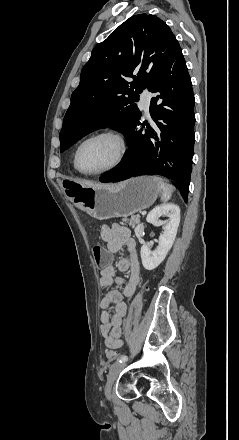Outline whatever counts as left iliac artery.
I'll return each mask as SVG.
<instances>
[{
	"label": "left iliac artery",
	"instance_id": "1",
	"mask_svg": "<svg viewBox=\"0 0 239 440\" xmlns=\"http://www.w3.org/2000/svg\"><path fill=\"white\" fill-rule=\"evenodd\" d=\"M127 356L126 355H121V356H119L118 358H117V362H120V363H122V362H125V361H127Z\"/></svg>",
	"mask_w": 239,
	"mask_h": 440
}]
</instances>
